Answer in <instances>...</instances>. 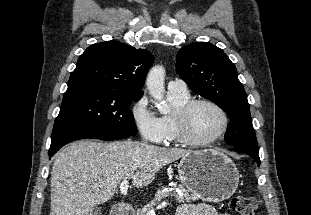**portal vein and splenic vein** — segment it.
<instances>
[{
	"label": "portal vein and splenic vein",
	"mask_w": 311,
	"mask_h": 215,
	"mask_svg": "<svg viewBox=\"0 0 311 215\" xmlns=\"http://www.w3.org/2000/svg\"><path fill=\"white\" fill-rule=\"evenodd\" d=\"M129 182L128 180H124L121 182L120 184V192L122 195H126L127 192H128V187H129ZM168 203L167 202H162L161 204H159L156 208L159 209V208H163L167 205ZM147 215H155V210L152 208L150 209L148 212H147Z\"/></svg>",
	"instance_id": "18ae733b"
}]
</instances>
